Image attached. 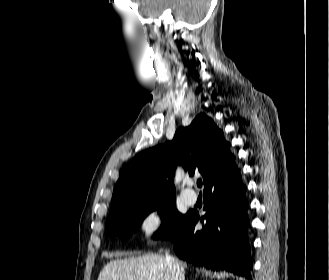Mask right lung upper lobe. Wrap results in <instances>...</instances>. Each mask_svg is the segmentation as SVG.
Listing matches in <instances>:
<instances>
[{
	"instance_id": "obj_1",
	"label": "right lung upper lobe",
	"mask_w": 329,
	"mask_h": 280,
	"mask_svg": "<svg viewBox=\"0 0 329 280\" xmlns=\"http://www.w3.org/2000/svg\"><path fill=\"white\" fill-rule=\"evenodd\" d=\"M176 164L190 173L199 171L205 187L233 167L235 157L223 132L200 113L188 127H180L171 142L141 152L125 166L114 188L110 212L139 198L175 197Z\"/></svg>"
}]
</instances>
